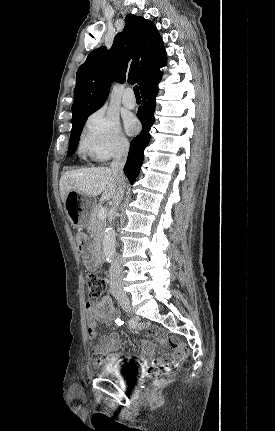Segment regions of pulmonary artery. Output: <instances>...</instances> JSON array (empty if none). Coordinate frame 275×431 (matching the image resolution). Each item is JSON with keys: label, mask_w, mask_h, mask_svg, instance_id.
I'll return each mask as SVG.
<instances>
[{"label": "pulmonary artery", "mask_w": 275, "mask_h": 431, "mask_svg": "<svg viewBox=\"0 0 275 431\" xmlns=\"http://www.w3.org/2000/svg\"><path fill=\"white\" fill-rule=\"evenodd\" d=\"M122 103L126 108H129V109H133L136 106V100L130 88L124 91Z\"/></svg>", "instance_id": "pulmonary-artery-1"}]
</instances>
